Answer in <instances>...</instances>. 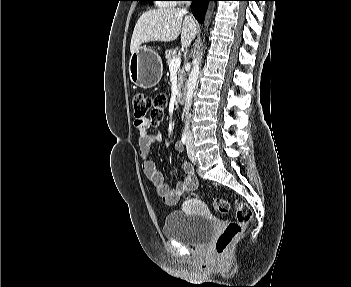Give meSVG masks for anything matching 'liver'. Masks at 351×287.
<instances>
[{"mask_svg": "<svg viewBox=\"0 0 351 287\" xmlns=\"http://www.w3.org/2000/svg\"><path fill=\"white\" fill-rule=\"evenodd\" d=\"M198 32L197 23L181 8H159L143 13L131 38L130 52L138 51L142 43L170 42L181 34V44L188 47Z\"/></svg>", "mask_w": 351, "mask_h": 287, "instance_id": "obj_1", "label": "liver"}]
</instances>
